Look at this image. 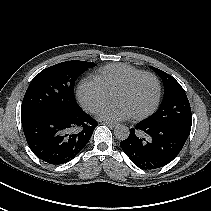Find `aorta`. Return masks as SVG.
<instances>
[{"label": "aorta", "instance_id": "aorta-1", "mask_svg": "<svg viewBox=\"0 0 211 211\" xmlns=\"http://www.w3.org/2000/svg\"><path fill=\"white\" fill-rule=\"evenodd\" d=\"M130 134L129 128L124 125H118L114 129V135L118 140H125Z\"/></svg>", "mask_w": 211, "mask_h": 211}]
</instances>
